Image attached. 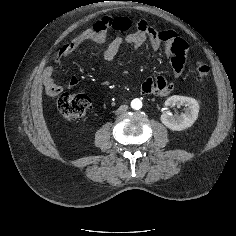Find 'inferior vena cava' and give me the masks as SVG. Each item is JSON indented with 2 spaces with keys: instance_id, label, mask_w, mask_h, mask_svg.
<instances>
[{
  "instance_id": "1",
  "label": "inferior vena cava",
  "mask_w": 236,
  "mask_h": 236,
  "mask_svg": "<svg viewBox=\"0 0 236 236\" xmlns=\"http://www.w3.org/2000/svg\"><path fill=\"white\" fill-rule=\"evenodd\" d=\"M127 109H128V106H127V105H121V106L116 110V113H117V114L123 113V112L126 111Z\"/></svg>"
}]
</instances>
